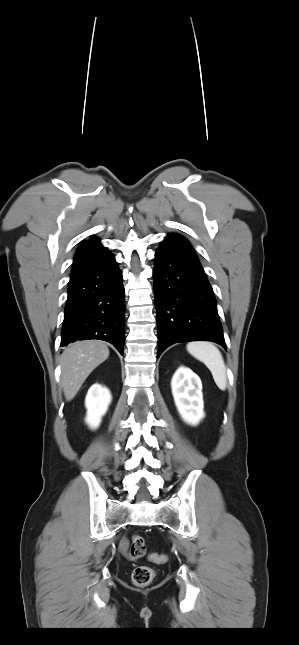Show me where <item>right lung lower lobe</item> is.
<instances>
[{"instance_id": "1", "label": "right lung lower lobe", "mask_w": 299, "mask_h": 645, "mask_svg": "<svg viewBox=\"0 0 299 645\" xmlns=\"http://www.w3.org/2000/svg\"><path fill=\"white\" fill-rule=\"evenodd\" d=\"M124 295L122 273L112 254L72 273L61 346L77 340H104L123 355Z\"/></svg>"}]
</instances>
